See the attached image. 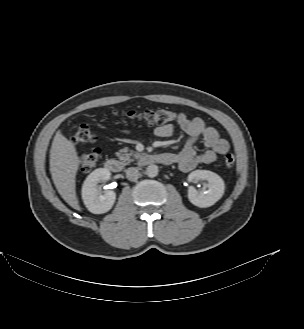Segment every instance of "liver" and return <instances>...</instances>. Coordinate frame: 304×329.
Here are the masks:
<instances>
[{"mask_svg":"<svg viewBox=\"0 0 304 329\" xmlns=\"http://www.w3.org/2000/svg\"><path fill=\"white\" fill-rule=\"evenodd\" d=\"M49 164L52 180L58 193L72 208L80 211L75 190L79 158L74 144L60 131L53 139Z\"/></svg>","mask_w":304,"mask_h":329,"instance_id":"6515ba94","label":"liver"}]
</instances>
